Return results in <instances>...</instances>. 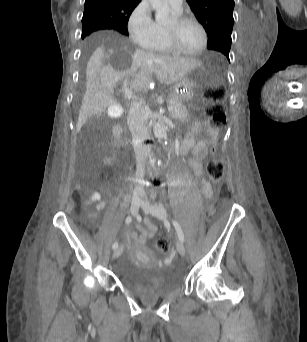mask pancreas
<instances>
[{"label": "pancreas", "instance_id": "cf45deb5", "mask_svg": "<svg viewBox=\"0 0 307 342\" xmlns=\"http://www.w3.org/2000/svg\"><path fill=\"white\" fill-rule=\"evenodd\" d=\"M180 99L179 94H172L170 97V103L175 104V110L174 112H171L172 118H184L187 117L188 112L186 110L185 106H180V104H176Z\"/></svg>", "mask_w": 307, "mask_h": 342}]
</instances>
